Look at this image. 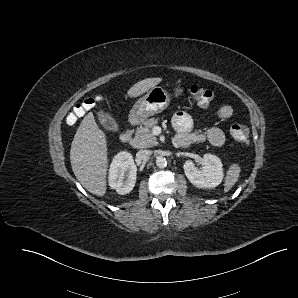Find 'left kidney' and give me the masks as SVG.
<instances>
[{
  "label": "left kidney",
  "instance_id": "obj_1",
  "mask_svg": "<svg viewBox=\"0 0 298 298\" xmlns=\"http://www.w3.org/2000/svg\"><path fill=\"white\" fill-rule=\"evenodd\" d=\"M202 168L195 167L191 160L185 161L184 173L191 184L198 188H215L221 184L224 171L221 159L216 155L206 153L203 155Z\"/></svg>",
  "mask_w": 298,
  "mask_h": 298
}]
</instances>
